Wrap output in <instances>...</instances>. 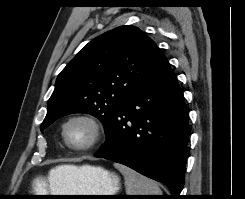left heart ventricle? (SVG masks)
Listing matches in <instances>:
<instances>
[{
  "mask_svg": "<svg viewBox=\"0 0 245 199\" xmlns=\"http://www.w3.org/2000/svg\"><path fill=\"white\" fill-rule=\"evenodd\" d=\"M92 136V128L85 121H73L67 128L68 140L75 146H82L87 144L92 139Z\"/></svg>",
  "mask_w": 245,
  "mask_h": 199,
  "instance_id": "b2bd125f",
  "label": "left heart ventricle"
}]
</instances>
